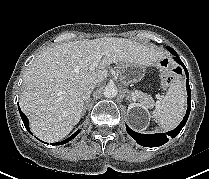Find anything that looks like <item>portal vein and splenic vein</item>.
<instances>
[{"instance_id": "18ae733b", "label": "portal vein and splenic vein", "mask_w": 209, "mask_h": 179, "mask_svg": "<svg viewBox=\"0 0 209 179\" xmlns=\"http://www.w3.org/2000/svg\"><path fill=\"white\" fill-rule=\"evenodd\" d=\"M103 54L98 53L96 56V60L94 61V63L91 65L90 69L91 70H95L97 68V66L99 65V62L102 58ZM135 98V97H134Z\"/></svg>"}]
</instances>
